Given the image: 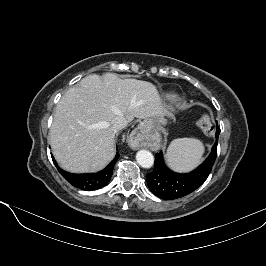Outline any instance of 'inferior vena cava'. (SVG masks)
<instances>
[{
    "instance_id": "602c4592",
    "label": "inferior vena cava",
    "mask_w": 266,
    "mask_h": 266,
    "mask_svg": "<svg viewBox=\"0 0 266 266\" xmlns=\"http://www.w3.org/2000/svg\"><path fill=\"white\" fill-rule=\"evenodd\" d=\"M128 124V121L121 116L115 117L112 120V129L114 132H118L119 130L125 128Z\"/></svg>"
}]
</instances>
